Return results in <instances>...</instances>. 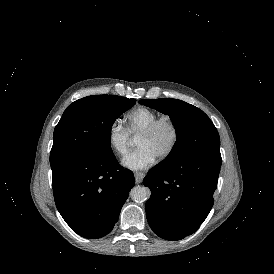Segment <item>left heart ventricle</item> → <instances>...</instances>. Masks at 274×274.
<instances>
[{
    "instance_id": "obj_1",
    "label": "left heart ventricle",
    "mask_w": 274,
    "mask_h": 274,
    "mask_svg": "<svg viewBox=\"0 0 274 274\" xmlns=\"http://www.w3.org/2000/svg\"><path fill=\"white\" fill-rule=\"evenodd\" d=\"M170 142V130L167 127H162L152 136H138L136 147L147 148L158 159L168 149Z\"/></svg>"
}]
</instances>
